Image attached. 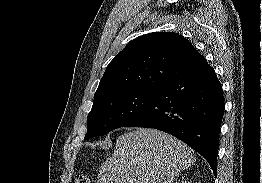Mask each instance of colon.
Wrapping results in <instances>:
<instances>
[{"mask_svg":"<svg viewBox=\"0 0 262 183\" xmlns=\"http://www.w3.org/2000/svg\"><path fill=\"white\" fill-rule=\"evenodd\" d=\"M75 183H91L90 178L86 175H79L75 179Z\"/></svg>","mask_w":262,"mask_h":183,"instance_id":"5ec220e1","label":"colon"}]
</instances>
